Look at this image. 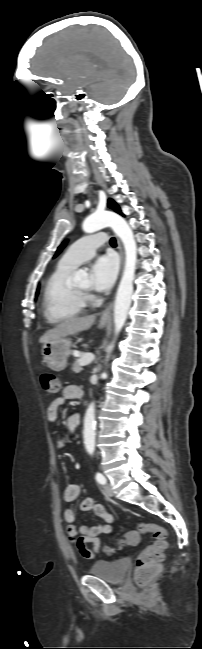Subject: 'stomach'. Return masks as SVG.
Instances as JSON below:
<instances>
[{
    "mask_svg": "<svg viewBox=\"0 0 202 649\" xmlns=\"http://www.w3.org/2000/svg\"><path fill=\"white\" fill-rule=\"evenodd\" d=\"M107 323V319L101 318L99 327L102 328ZM72 342L68 338H58L43 344L41 353L45 364L53 371H61L67 365V358L71 353Z\"/></svg>",
    "mask_w": 202,
    "mask_h": 649,
    "instance_id": "stomach-1",
    "label": "stomach"
}]
</instances>
